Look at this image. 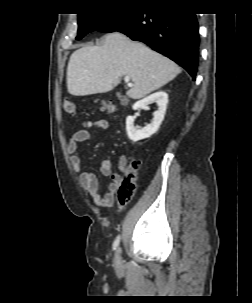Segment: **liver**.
I'll use <instances>...</instances> for the list:
<instances>
[{
  "instance_id": "6515ba94",
  "label": "liver",
  "mask_w": 252,
  "mask_h": 303,
  "mask_svg": "<svg viewBox=\"0 0 252 303\" xmlns=\"http://www.w3.org/2000/svg\"><path fill=\"white\" fill-rule=\"evenodd\" d=\"M180 71L170 59L115 32L105 35L100 46L87 45L72 53L67 89L74 96L106 93L127 76L133 82L127 96L141 99L173 80Z\"/></svg>"
}]
</instances>
